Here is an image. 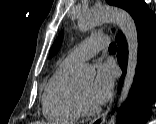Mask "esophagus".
Segmentation results:
<instances>
[{"label": "esophagus", "instance_id": "34e87169", "mask_svg": "<svg viewBox=\"0 0 156 124\" xmlns=\"http://www.w3.org/2000/svg\"><path fill=\"white\" fill-rule=\"evenodd\" d=\"M108 112H109V107L103 114L99 115L94 120H92L90 124H103Z\"/></svg>", "mask_w": 156, "mask_h": 124}]
</instances>
